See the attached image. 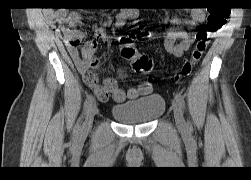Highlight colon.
Returning a JSON list of instances; mask_svg holds the SVG:
<instances>
[{"mask_svg": "<svg viewBox=\"0 0 251 180\" xmlns=\"http://www.w3.org/2000/svg\"><path fill=\"white\" fill-rule=\"evenodd\" d=\"M229 11L227 9H210L206 24L195 34L196 44L190 57L184 62L179 76L187 77L191 75L193 69L198 64L203 54L207 50L211 34L218 31L227 21ZM146 37L141 31L128 32L118 37L120 43V55L123 59L131 63L134 71L141 74H149L152 71V60L144 54H139L134 43L136 40Z\"/></svg>", "mask_w": 251, "mask_h": 180, "instance_id": "5ec220e1", "label": "colon"}]
</instances>
